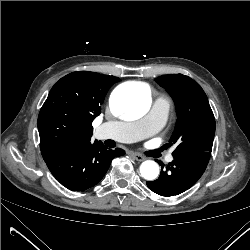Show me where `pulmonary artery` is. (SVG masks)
<instances>
[{
	"label": "pulmonary artery",
	"instance_id": "1",
	"mask_svg": "<svg viewBox=\"0 0 250 250\" xmlns=\"http://www.w3.org/2000/svg\"><path fill=\"white\" fill-rule=\"evenodd\" d=\"M170 109L167 98L159 96L155 99L151 110L142 119L133 122L114 121L100 126L99 130H106V137L120 142H135L158 132L165 124ZM168 162L173 160L169 154Z\"/></svg>",
	"mask_w": 250,
	"mask_h": 250
}]
</instances>
